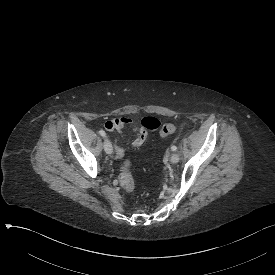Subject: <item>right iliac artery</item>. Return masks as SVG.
<instances>
[{
  "instance_id": "obj_1",
  "label": "right iliac artery",
  "mask_w": 275,
  "mask_h": 275,
  "mask_svg": "<svg viewBox=\"0 0 275 275\" xmlns=\"http://www.w3.org/2000/svg\"><path fill=\"white\" fill-rule=\"evenodd\" d=\"M99 134H100L102 137H106V133H105V131H103V130H100V131H99Z\"/></svg>"
}]
</instances>
